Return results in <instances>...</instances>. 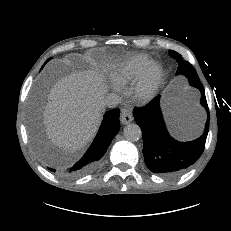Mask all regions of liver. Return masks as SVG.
I'll return each mask as SVG.
<instances>
[{
	"mask_svg": "<svg viewBox=\"0 0 231 231\" xmlns=\"http://www.w3.org/2000/svg\"><path fill=\"white\" fill-rule=\"evenodd\" d=\"M107 93L104 76L98 70L72 73L56 82L47 95L43 123L48 138L66 152H75L96 135L105 110ZM33 144L44 156L43 143Z\"/></svg>",
	"mask_w": 231,
	"mask_h": 231,
	"instance_id": "1",
	"label": "liver"
}]
</instances>
